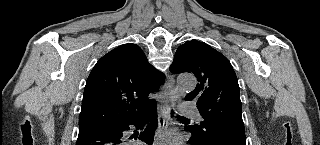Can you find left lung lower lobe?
I'll use <instances>...</instances> for the list:
<instances>
[{
  "mask_svg": "<svg viewBox=\"0 0 320 145\" xmlns=\"http://www.w3.org/2000/svg\"><path fill=\"white\" fill-rule=\"evenodd\" d=\"M185 131L191 132V127H186ZM192 133V132H191ZM191 145H246L245 134L228 130H220L211 137L202 139L192 134L189 139Z\"/></svg>",
  "mask_w": 320,
  "mask_h": 145,
  "instance_id": "obj_1",
  "label": "left lung lower lobe"
}]
</instances>
